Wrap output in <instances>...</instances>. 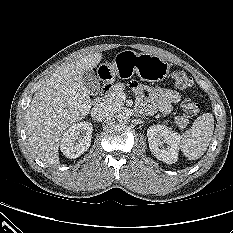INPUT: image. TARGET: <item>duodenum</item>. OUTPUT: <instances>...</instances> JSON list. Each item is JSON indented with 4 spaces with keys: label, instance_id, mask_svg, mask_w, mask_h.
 <instances>
[{
    "label": "duodenum",
    "instance_id": "410a0bca",
    "mask_svg": "<svg viewBox=\"0 0 233 233\" xmlns=\"http://www.w3.org/2000/svg\"><path fill=\"white\" fill-rule=\"evenodd\" d=\"M110 88H111V83L110 82H105L103 84L100 92L98 93V95L94 99V104L95 105L100 104L104 100V98H105V96H106V94H107V92L109 91Z\"/></svg>",
    "mask_w": 233,
    "mask_h": 233
}]
</instances>
